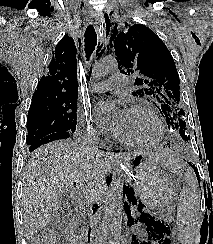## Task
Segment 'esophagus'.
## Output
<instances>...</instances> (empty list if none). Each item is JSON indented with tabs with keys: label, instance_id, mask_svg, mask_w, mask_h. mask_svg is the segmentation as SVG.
<instances>
[{
	"label": "esophagus",
	"instance_id": "34e87169",
	"mask_svg": "<svg viewBox=\"0 0 213 244\" xmlns=\"http://www.w3.org/2000/svg\"><path fill=\"white\" fill-rule=\"evenodd\" d=\"M96 29L99 30V27L97 26V23H96ZM102 41L103 42L106 41V38L104 37Z\"/></svg>",
	"mask_w": 213,
	"mask_h": 244
}]
</instances>
